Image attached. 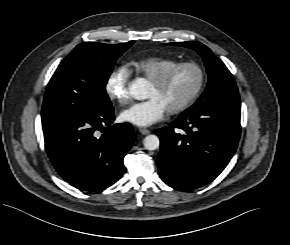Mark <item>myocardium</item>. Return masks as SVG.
<instances>
[{
	"instance_id": "f54148a6",
	"label": "myocardium",
	"mask_w": 290,
	"mask_h": 245,
	"mask_svg": "<svg viewBox=\"0 0 290 245\" xmlns=\"http://www.w3.org/2000/svg\"><path fill=\"white\" fill-rule=\"evenodd\" d=\"M183 68H192V69L196 70L199 74V81H198V84H197L196 88L194 89V91L183 102H181L179 105L167 110V112L169 114H172V115L179 114V113L185 111L199 97V95L201 94V92L203 90V87L205 85V80H206V74H205L204 69L199 64L194 63V62L176 63V64L168 67L164 71H162L160 74H158L152 80H150V82L152 84H154L155 86L162 87L167 83V81L169 80V78L172 76V74L174 72H176L179 69H183Z\"/></svg>"
}]
</instances>
